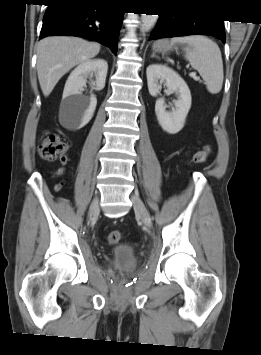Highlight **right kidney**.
Here are the masks:
<instances>
[{"label": "right kidney", "instance_id": "ca27d5eb", "mask_svg": "<svg viewBox=\"0 0 261 355\" xmlns=\"http://www.w3.org/2000/svg\"><path fill=\"white\" fill-rule=\"evenodd\" d=\"M108 64L104 59L87 60L79 64L68 77L60 107V117L63 124L73 129H81L93 117L97 99L83 96L82 89L86 85L88 75H94L91 84L101 90L105 86Z\"/></svg>", "mask_w": 261, "mask_h": 355}]
</instances>
